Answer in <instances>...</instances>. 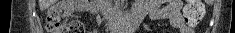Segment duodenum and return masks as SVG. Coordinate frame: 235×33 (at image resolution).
Wrapping results in <instances>:
<instances>
[{"mask_svg":"<svg viewBox=\"0 0 235 33\" xmlns=\"http://www.w3.org/2000/svg\"><path fill=\"white\" fill-rule=\"evenodd\" d=\"M87 6L90 5V2L85 1ZM142 17L138 14H128L116 22L110 23L109 28L113 33H123L124 31L133 32L139 23L141 22Z\"/></svg>","mask_w":235,"mask_h":33,"instance_id":"1","label":"duodenum"}]
</instances>
